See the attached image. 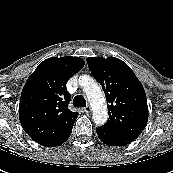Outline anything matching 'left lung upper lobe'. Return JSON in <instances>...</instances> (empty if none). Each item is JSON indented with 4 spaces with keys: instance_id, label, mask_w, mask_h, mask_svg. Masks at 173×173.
Wrapping results in <instances>:
<instances>
[{
    "instance_id": "1",
    "label": "left lung upper lobe",
    "mask_w": 173,
    "mask_h": 173,
    "mask_svg": "<svg viewBox=\"0 0 173 173\" xmlns=\"http://www.w3.org/2000/svg\"><path fill=\"white\" fill-rule=\"evenodd\" d=\"M89 70L102 85L107 100L109 120L102 127L136 139L148 121L144 88L131 68L115 57L87 58Z\"/></svg>"
}]
</instances>
